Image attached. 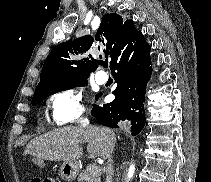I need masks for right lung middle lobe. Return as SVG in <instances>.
I'll return each instance as SVG.
<instances>
[{
    "mask_svg": "<svg viewBox=\"0 0 211 182\" xmlns=\"http://www.w3.org/2000/svg\"><path fill=\"white\" fill-rule=\"evenodd\" d=\"M88 83L87 77L78 79L76 81L67 83V84H59V85H54L50 86L44 90H41L40 92L36 93L33 98H32V106L36 105L38 102L41 100L45 99L46 97L55 94L57 92L63 91V90H68V89H73L75 87L79 86H86Z\"/></svg>",
    "mask_w": 211,
    "mask_h": 182,
    "instance_id": "1",
    "label": "right lung middle lobe"
}]
</instances>
